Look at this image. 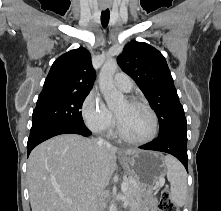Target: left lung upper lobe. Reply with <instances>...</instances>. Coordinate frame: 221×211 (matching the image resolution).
I'll use <instances>...</instances> for the list:
<instances>
[{"label": "left lung upper lobe", "instance_id": "5c2ea615", "mask_svg": "<svg viewBox=\"0 0 221 211\" xmlns=\"http://www.w3.org/2000/svg\"><path fill=\"white\" fill-rule=\"evenodd\" d=\"M118 64L142 90L157 114L160 135L186 128L183 106L164 56L144 42H129L118 56Z\"/></svg>", "mask_w": 221, "mask_h": 211}]
</instances>
